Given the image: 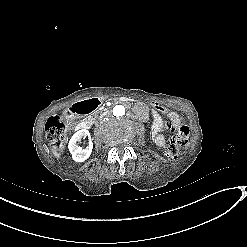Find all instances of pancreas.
Masks as SVG:
<instances>
[{
  "label": "pancreas",
  "mask_w": 247,
  "mask_h": 247,
  "mask_svg": "<svg viewBox=\"0 0 247 247\" xmlns=\"http://www.w3.org/2000/svg\"><path fill=\"white\" fill-rule=\"evenodd\" d=\"M93 118H94V117L91 116V117L88 118V120H92Z\"/></svg>",
  "instance_id": "cf45deb5"
}]
</instances>
